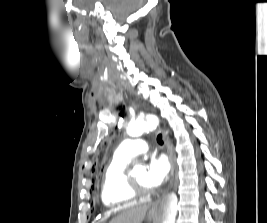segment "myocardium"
Listing matches in <instances>:
<instances>
[{
	"label": "myocardium",
	"instance_id": "myocardium-1",
	"mask_svg": "<svg viewBox=\"0 0 267 223\" xmlns=\"http://www.w3.org/2000/svg\"><path fill=\"white\" fill-rule=\"evenodd\" d=\"M127 187L129 190V193L134 199H144L147 198L151 194L150 189H145L138 185L136 181L133 179L131 175H127Z\"/></svg>",
	"mask_w": 267,
	"mask_h": 223
}]
</instances>
